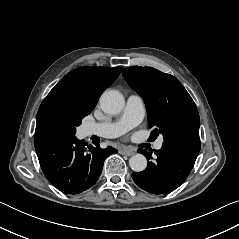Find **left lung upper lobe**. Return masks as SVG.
Here are the masks:
<instances>
[{
	"label": "left lung upper lobe",
	"mask_w": 239,
	"mask_h": 239,
	"mask_svg": "<svg viewBox=\"0 0 239 239\" xmlns=\"http://www.w3.org/2000/svg\"><path fill=\"white\" fill-rule=\"evenodd\" d=\"M123 75L143 98L151 137L163 135L164 140L179 134L199 135L198 110L189 93L172 75L154 68L133 66Z\"/></svg>",
	"instance_id": "1"
}]
</instances>
